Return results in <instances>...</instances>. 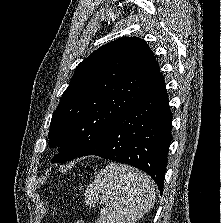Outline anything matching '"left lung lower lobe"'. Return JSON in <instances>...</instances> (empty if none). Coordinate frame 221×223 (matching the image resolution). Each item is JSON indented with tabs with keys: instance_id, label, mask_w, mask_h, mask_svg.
<instances>
[{
	"instance_id": "obj_1",
	"label": "left lung lower lobe",
	"mask_w": 221,
	"mask_h": 223,
	"mask_svg": "<svg viewBox=\"0 0 221 223\" xmlns=\"http://www.w3.org/2000/svg\"><path fill=\"white\" fill-rule=\"evenodd\" d=\"M171 123L168 94L160 73L151 87L77 157L96 155L139 168L153 178L162 193Z\"/></svg>"
}]
</instances>
